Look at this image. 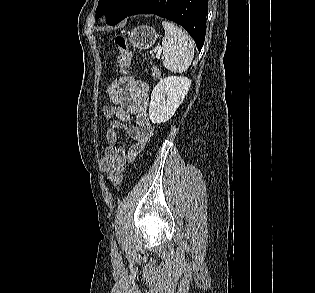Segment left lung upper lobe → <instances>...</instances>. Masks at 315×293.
I'll return each mask as SVG.
<instances>
[{
    "instance_id": "obj_1",
    "label": "left lung upper lobe",
    "mask_w": 315,
    "mask_h": 293,
    "mask_svg": "<svg viewBox=\"0 0 315 293\" xmlns=\"http://www.w3.org/2000/svg\"><path fill=\"white\" fill-rule=\"evenodd\" d=\"M142 0H100L96 18L107 16V23L115 25L126 18Z\"/></svg>"
}]
</instances>
